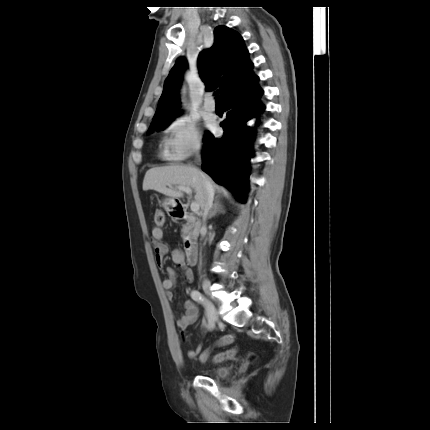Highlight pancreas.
<instances>
[{
    "label": "pancreas",
    "instance_id": "obj_1",
    "mask_svg": "<svg viewBox=\"0 0 430 430\" xmlns=\"http://www.w3.org/2000/svg\"><path fill=\"white\" fill-rule=\"evenodd\" d=\"M187 223L183 225V228L181 230L182 238L186 240V238H193L195 236H198L199 228H200V221L196 220V218L189 214L186 217Z\"/></svg>",
    "mask_w": 430,
    "mask_h": 430
}]
</instances>
